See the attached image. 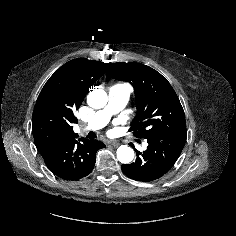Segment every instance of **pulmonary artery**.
<instances>
[{"label": "pulmonary artery", "mask_w": 236, "mask_h": 236, "mask_svg": "<svg viewBox=\"0 0 236 236\" xmlns=\"http://www.w3.org/2000/svg\"><path fill=\"white\" fill-rule=\"evenodd\" d=\"M130 87L127 84H114L109 89L107 106L95 113L93 118L84 125V130H97L103 128L110 118L120 112L130 97ZM145 145H147L145 143Z\"/></svg>", "instance_id": "1"}]
</instances>
